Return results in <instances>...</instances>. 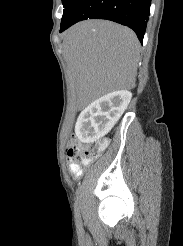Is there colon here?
Wrapping results in <instances>:
<instances>
[{
	"label": "colon",
	"instance_id": "5ec220e1",
	"mask_svg": "<svg viewBox=\"0 0 183 246\" xmlns=\"http://www.w3.org/2000/svg\"><path fill=\"white\" fill-rule=\"evenodd\" d=\"M106 146V140L98 141L87 146H80L71 141L67 147V153L72 171L78 174L81 166L88 164L99 157Z\"/></svg>",
	"mask_w": 183,
	"mask_h": 246
}]
</instances>
